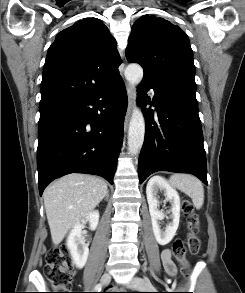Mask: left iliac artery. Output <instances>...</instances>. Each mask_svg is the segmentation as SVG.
<instances>
[{
	"label": "left iliac artery",
	"instance_id": "44dca946",
	"mask_svg": "<svg viewBox=\"0 0 245 293\" xmlns=\"http://www.w3.org/2000/svg\"><path fill=\"white\" fill-rule=\"evenodd\" d=\"M152 288L146 287L145 290H151Z\"/></svg>",
	"mask_w": 245,
	"mask_h": 293
}]
</instances>
